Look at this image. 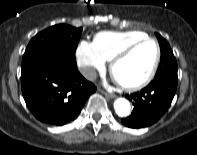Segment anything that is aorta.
Segmentation results:
<instances>
[{
    "instance_id": "aorta-1",
    "label": "aorta",
    "mask_w": 197,
    "mask_h": 155,
    "mask_svg": "<svg viewBox=\"0 0 197 155\" xmlns=\"http://www.w3.org/2000/svg\"><path fill=\"white\" fill-rule=\"evenodd\" d=\"M115 113L120 117H126L130 114V103L125 98H118L114 102Z\"/></svg>"
}]
</instances>
